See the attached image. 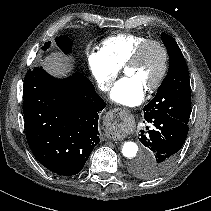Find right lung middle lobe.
Masks as SVG:
<instances>
[{
	"instance_id": "right-lung-middle-lobe-1",
	"label": "right lung middle lobe",
	"mask_w": 211,
	"mask_h": 211,
	"mask_svg": "<svg viewBox=\"0 0 211 211\" xmlns=\"http://www.w3.org/2000/svg\"><path fill=\"white\" fill-rule=\"evenodd\" d=\"M57 45L64 51L65 53L71 52V39L66 36H59L55 38ZM50 45V42L45 43L43 50H46Z\"/></svg>"
}]
</instances>
